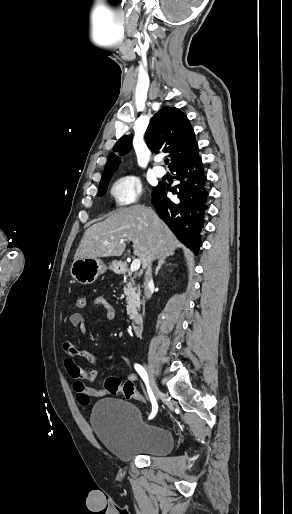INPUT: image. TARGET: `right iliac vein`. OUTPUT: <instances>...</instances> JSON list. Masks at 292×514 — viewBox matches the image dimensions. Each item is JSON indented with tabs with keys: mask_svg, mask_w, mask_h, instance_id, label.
Segmentation results:
<instances>
[{
	"mask_svg": "<svg viewBox=\"0 0 292 514\" xmlns=\"http://www.w3.org/2000/svg\"><path fill=\"white\" fill-rule=\"evenodd\" d=\"M145 366H146V368H147V370L149 372L150 385H151L152 392H153L155 398L159 399V397L161 396V392H160V390H159V388H158V386H157V384L155 382L153 373H152V371L150 370V368L147 365H145Z\"/></svg>",
	"mask_w": 292,
	"mask_h": 514,
	"instance_id": "right-iliac-vein-1",
	"label": "right iliac vein"
}]
</instances>
